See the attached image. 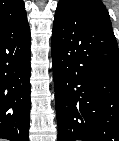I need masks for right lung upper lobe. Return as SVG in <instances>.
<instances>
[{"label": "right lung upper lobe", "mask_w": 119, "mask_h": 141, "mask_svg": "<svg viewBox=\"0 0 119 141\" xmlns=\"http://www.w3.org/2000/svg\"><path fill=\"white\" fill-rule=\"evenodd\" d=\"M26 15L23 0H0V21H10Z\"/></svg>", "instance_id": "1"}]
</instances>
